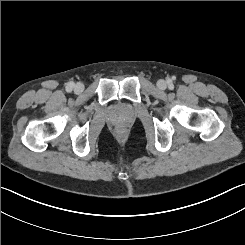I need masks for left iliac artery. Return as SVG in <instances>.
Returning <instances> with one entry per match:
<instances>
[{
  "mask_svg": "<svg viewBox=\"0 0 245 245\" xmlns=\"http://www.w3.org/2000/svg\"><path fill=\"white\" fill-rule=\"evenodd\" d=\"M170 88H174V86L172 84L169 85Z\"/></svg>",
  "mask_w": 245,
  "mask_h": 245,
  "instance_id": "left-iliac-artery-1",
  "label": "left iliac artery"
}]
</instances>
